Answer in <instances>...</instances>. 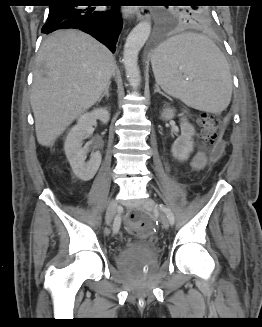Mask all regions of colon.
Segmentation results:
<instances>
[{"mask_svg": "<svg viewBox=\"0 0 262 327\" xmlns=\"http://www.w3.org/2000/svg\"><path fill=\"white\" fill-rule=\"evenodd\" d=\"M201 139L205 145H214L212 158L219 160L224 154V144L219 140L221 123L213 115L202 112L198 117ZM153 221L144 213H131L127 216L126 227L134 234L148 235L152 232Z\"/></svg>", "mask_w": 262, "mask_h": 327, "instance_id": "5ec220e1", "label": "colon"}]
</instances>
